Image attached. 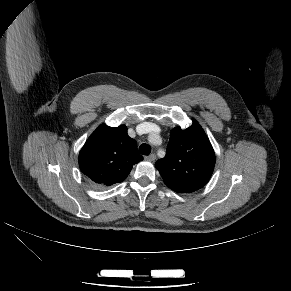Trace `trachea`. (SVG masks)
I'll return each mask as SVG.
<instances>
[{
  "label": "trachea",
  "mask_w": 291,
  "mask_h": 291,
  "mask_svg": "<svg viewBox=\"0 0 291 291\" xmlns=\"http://www.w3.org/2000/svg\"><path fill=\"white\" fill-rule=\"evenodd\" d=\"M139 152L142 154V155H149L150 152H151V147L146 144V143H143L140 145L139 147Z\"/></svg>",
  "instance_id": "1"
}]
</instances>
